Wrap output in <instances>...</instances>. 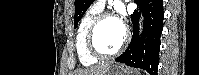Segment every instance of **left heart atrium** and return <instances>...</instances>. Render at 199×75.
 Masks as SVG:
<instances>
[{"mask_svg": "<svg viewBox=\"0 0 199 75\" xmlns=\"http://www.w3.org/2000/svg\"><path fill=\"white\" fill-rule=\"evenodd\" d=\"M117 20H118V22L120 23L121 27H122L123 29H125L123 20H121V19H117Z\"/></svg>", "mask_w": 199, "mask_h": 75, "instance_id": "left-heart-atrium-1", "label": "left heart atrium"}]
</instances>
